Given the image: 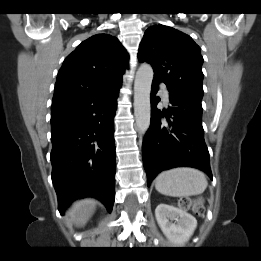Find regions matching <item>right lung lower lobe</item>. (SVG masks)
I'll use <instances>...</instances> for the list:
<instances>
[{"mask_svg":"<svg viewBox=\"0 0 261 261\" xmlns=\"http://www.w3.org/2000/svg\"><path fill=\"white\" fill-rule=\"evenodd\" d=\"M119 88L51 106L52 182L61 214L75 199L94 197L111 212L115 199L113 118Z\"/></svg>","mask_w":261,"mask_h":261,"instance_id":"right-lung-lower-lobe-1","label":"right lung lower lobe"}]
</instances>
